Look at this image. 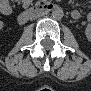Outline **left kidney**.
Returning <instances> with one entry per match:
<instances>
[{
  "label": "left kidney",
  "instance_id": "5707ae66",
  "mask_svg": "<svg viewBox=\"0 0 91 91\" xmlns=\"http://www.w3.org/2000/svg\"><path fill=\"white\" fill-rule=\"evenodd\" d=\"M85 35L88 40L91 38V28L89 26L86 28Z\"/></svg>",
  "mask_w": 91,
  "mask_h": 91
}]
</instances>
